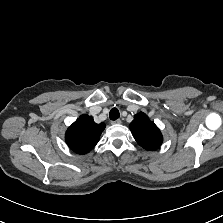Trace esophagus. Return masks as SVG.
<instances>
[{"instance_id":"34e87169","label":"esophagus","mask_w":223,"mask_h":223,"mask_svg":"<svg viewBox=\"0 0 223 223\" xmlns=\"http://www.w3.org/2000/svg\"><path fill=\"white\" fill-rule=\"evenodd\" d=\"M121 120L120 119H116V120H112L111 124L115 125V124H120Z\"/></svg>"}]
</instances>
